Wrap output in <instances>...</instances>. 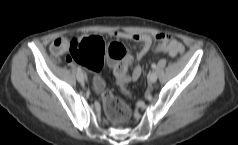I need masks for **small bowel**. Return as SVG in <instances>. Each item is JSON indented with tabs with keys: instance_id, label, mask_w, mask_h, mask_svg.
Wrapping results in <instances>:
<instances>
[{
	"instance_id": "obj_1",
	"label": "small bowel",
	"mask_w": 238,
	"mask_h": 145,
	"mask_svg": "<svg viewBox=\"0 0 238 145\" xmlns=\"http://www.w3.org/2000/svg\"><path fill=\"white\" fill-rule=\"evenodd\" d=\"M113 36L118 39L122 40H133L138 43H140V50L138 51L136 57L134 58L132 55H126L129 58V67L131 68L130 71V79L137 80L141 74H142V68L139 65H136L134 67H131L134 61L141 60L150 50L153 43L157 42H169L176 45L178 48L183 51V46L179 41H177L175 38H173L170 35L166 34H158L155 36H151L148 34H138V33H129V32H123V31H115L113 33ZM86 40V39H85ZM68 42L69 40L65 37H58L56 38L50 46V51L55 56H60L66 52H68ZM167 53V52H165ZM68 61H71L68 57Z\"/></svg>"
}]
</instances>
